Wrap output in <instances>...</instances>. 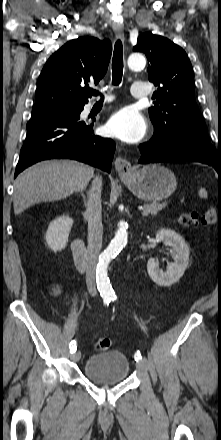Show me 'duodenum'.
<instances>
[{
	"instance_id": "duodenum-1",
	"label": "duodenum",
	"mask_w": 221,
	"mask_h": 440,
	"mask_svg": "<svg viewBox=\"0 0 221 440\" xmlns=\"http://www.w3.org/2000/svg\"><path fill=\"white\" fill-rule=\"evenodd\" d=\"M73 257L76 267L84 271L88 264L85 243L81 238H76L72 244Z\"/></svg>"
}]
</instances>
